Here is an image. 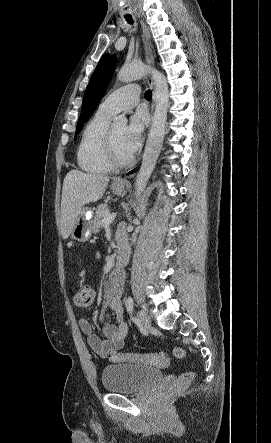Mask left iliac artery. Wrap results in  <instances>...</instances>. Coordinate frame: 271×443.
<instances>
[{"label": "left iliac artery", "mask_w": 271, "mask_h": 443, "mask_svg": "<svg viewBox=\"0 0 271 443\" xmlns=\"http://www.w3.org/2000/svg\"><path fill=\"white\" fill-rule=\"evenodd\" d=\"M133 305H134V302H133L132 297H128V299L126 300V308H127V311L129 312V314H132V312H133Z\"/></svg>", "instance_id": "obj_1"}]
</instances>
